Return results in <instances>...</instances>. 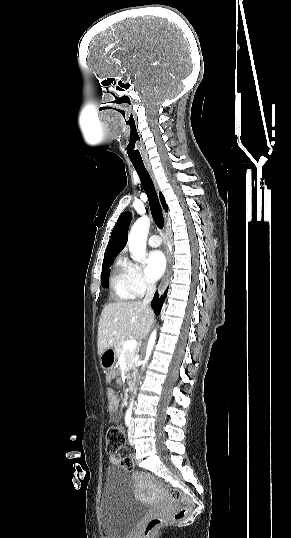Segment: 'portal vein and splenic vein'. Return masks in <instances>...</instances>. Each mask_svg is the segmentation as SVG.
<instances>
[{
    "mask_svg": "<svg viewBox=\"0 0 291 538\" xmlns=\"http://www.w3.org/2000/svg\"><path fill=\"white\" fill-rule=\"evenodd\" d=\"M137 346V341L136 340H129V341H126L124 344H123V349L124 350H133L135 349Z\"/></svg>",
    "mask_w": 291,
    "mask_h": 538,
    "instance_id": "1",
    "label": "portal vein and splenic vein"
}]
</instances>
